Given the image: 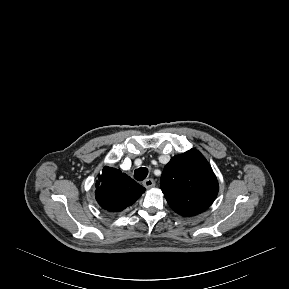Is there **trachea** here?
<instances>
[{
  "label": "trachea",
  "instance_id": "1",
  "mask_svg": "<svg viewBox=\"0 0 289 289\" xmlns=\"http://www.w3.org/2000/svg\"><path fill=\"white\" fill-rule=\"evenodd\" d=\"M148 175V169L145 167H140L134 171V178L137 181H143Z\"/></svg>",
  "mask_w": 289,
  "mask_h": 289
}]
</instances>
